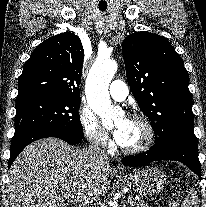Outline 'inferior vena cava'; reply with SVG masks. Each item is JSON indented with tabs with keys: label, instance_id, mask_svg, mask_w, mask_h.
Segmentation results:
<instances>
[{
	"label": "inferior vena cava",
	"instance_id": "602c4592",
	"mask_svg": "<svg viewBox=\"0 0 206 207\" xmlns=\"http://www.w3.org/2000/svg\"><path fill=\"white\" fill-rule=\"evenodd\" d=\"M88 151L94 160L107 161L106 142L94 138L89 142Z\"/></svg>",
	"mask_w": 206,
	"mask_h": 207
}]
</instances>
